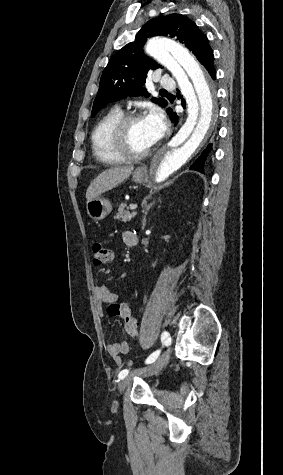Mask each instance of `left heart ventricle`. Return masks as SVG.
<instances>
[{"label":"left heart ventricle","instance_id":"obj_1","mask_svg":"<svg viewBox=\"0 0 283 475\" xmlns=\"http://www.w3.org/2000/svg\"><path fill=\"white\" fill-rule=\"evenodd\" d=\"M150 132L145 118L141 117L131 124L127 143L123 145L111 143L105 147V154L110 157H128L133 154H142L155 144L149 135Z\"/></svg>","mask_w":283,"mask_h":475}]
</instances>
